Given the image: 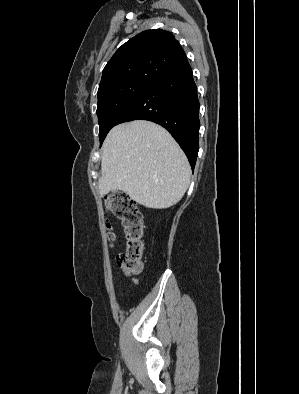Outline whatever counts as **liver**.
<instances>
[{"mask_svg": "<svg viewBox=\"0 0 299 394\" xmlns=\"http://www.w3.org/2000/svg\"><path fill=\"white\" fill-rule=\"evenodd\" d=\"M187 157L163 127L146 120L117 125L102 147L100 195L121 190L154 209L173 206L190 184Z\"/></svg>", "mask_w": 299, "mask_h": 394, "instance_id": "6515ba94", "label": "liver"}]
</instances>
